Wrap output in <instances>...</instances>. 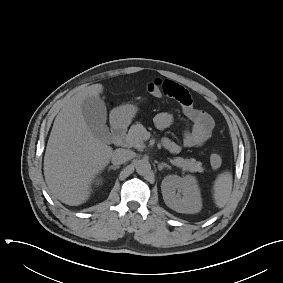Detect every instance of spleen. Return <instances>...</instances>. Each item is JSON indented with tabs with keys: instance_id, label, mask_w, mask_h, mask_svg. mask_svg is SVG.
I'll return each instance as SVG.
<instances>
[{
	"instance_id": "obj_1",
	"label": "spleen",
	"mask_w": 283,
	"mask_h": 283,
	"mask_svg": "<svg viewBox=\"0 0 283 283\" xmlns=\"http://www.w3.org/2000/svg\"><path fill=\"white\" fill-rule=\"evenodd\" d=\"M233 186L232 173L229 171L218 175L214 181L213 197L217 207H224L230 199Z\"/></svg>"
}]
</instances>
